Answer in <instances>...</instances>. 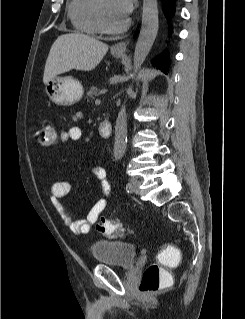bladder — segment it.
<instances>
[{
  "label": "bladder",
  "mask_w": 245,
  "mask_h": 319,
  "mask_svg": "<svg viewBox=\"0 0 245 319\" xmlns=\"http://www.w3.org/2000/svg\"><path fill=\"white\" fill-rule=\"evenodd\" d=\"M90 251L96 263L120 267L132 266L137 255V248L133 243L104 239L92 243Z\"/></svg>",
  "instance_id": "bladder-1"
}]
</instances>
